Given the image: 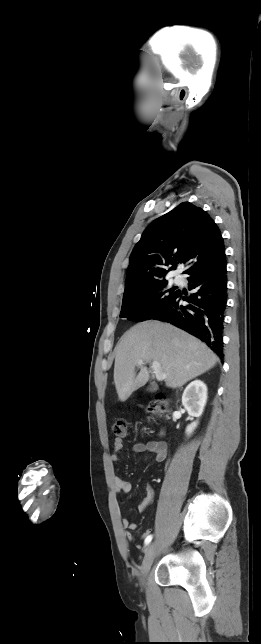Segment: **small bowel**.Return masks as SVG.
I'll return each instance as SVG.
<instances>
[{
	"label": "small bowel",
	"mask_w": 261,
	"mask_h": 644,
	"mask_svg": "<svg viewBox=\"0 0 261 644\" xmlns=\"http://www.w3.org/2000/svg\"><path fill=\"white\" fill-rule=\"evenodd\" d=\"M123 448V441L122 439L116 438L114 440V447L112 450V453L110 455V459L113 462H116L120 459V452ZM132 451L136 454H141V453H151L154 455V458L157 462H162L166 459L167 456V446L163 442H158V441H150L147 443H142V442H137L133 444L132 446ZM114 486L117 492H122V493H130L132 490V485L130 482L123 480L121 477L115 475L113 478ZM154 498V489L152 486L147 485L146 486V495L142 499V501L138 505V511L143 512L152 502ZM121 524L125 531V538L128 541H133L134 536L131 531L137 529V524L134 522H131L128 518L123 517L121 519ZM150 534L149 530H146L142 534V538L146 539ZM139 547V546H138Z\"/></svg>",
	"instance_id": "c3829d8e"
}]
</instances>
